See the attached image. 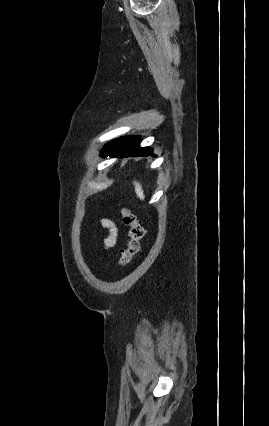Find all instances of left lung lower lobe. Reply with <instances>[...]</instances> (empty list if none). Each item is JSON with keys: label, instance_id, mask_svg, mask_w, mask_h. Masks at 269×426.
<instances>
[{"label": "left lung lower lobe", "instance_id": "1", "mask_svg": "<svg viewBox=\"0 0 269 426\" xmlns=\"http://www.w3.org/2000/svg\"><path fill=\"white\" fill-rule=\"evenodd\" d=\"M141 137H122L116 140H113L106 144L101 150V156H116V157H136V156H149L153 155L152 150L147 147H140L139 143Z\"/></svg>", "mask_w": 269, "mask_h": 426}]
</instances>
